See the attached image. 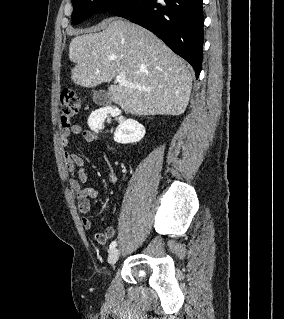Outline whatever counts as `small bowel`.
I'll return each mask as SVG.
<instances>
[{
    "label": "small bowel",
    "instance_id": "obj_1",
    "mask_svg": "<svg viewBox=\"0 0 284 319\" xmlns=\"http://www.w3.org/2000/svg\"><path fill=\"white\" fill-rule=\"evenodd\" d=\"M72 135H81L86 143H94L98 141V135L90 130H84L79 125H70L62 129L61 142L63 145L69 143ZM65 166L71 174L70 185L76 193L77 207L82 214L81 223L84 229L90 230L92 228V221L88 217L91 211V199L98 196V190L95 187L84 186L88 176L85 170L84 158L76 153L65 154ZM108 179L111 183H116L118 176L114 171H110ZM115 235L113 227H107L104 232H96L93 239L97 244H105L107 240Z\"/></svg>",
    "mask_w": 284,
    "mask_h": 319
}]
</instances>
